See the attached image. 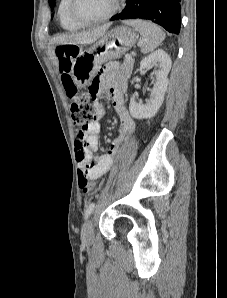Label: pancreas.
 <instances>
[{
    "label": "pancreas",
    "instance_id": "pancreas-1",
    "mask_svg": "<svg viewBox=\"0 0 227 298\" xmlns=\"http://www.w3.org/2000/svg\"><path fill=\"white\" fill-rule=\"evenodd\" d=\"M133 65H134V59H130L127 60L125 58L122 66H121V70L127 75L129 76L132 73L133 70Z\"/></svg>",
    "mask_w": 227,
    "mask_h": 298
}]
</instances>
